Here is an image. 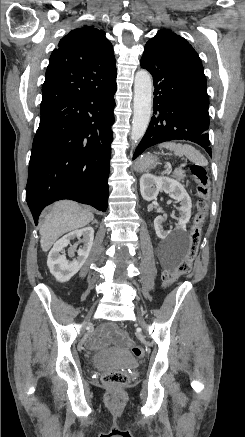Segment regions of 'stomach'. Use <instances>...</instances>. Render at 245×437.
Listing matches in <instances>:
<instances>
[{
	"instance_id": "stomach-1",
	"label": "stomach",
	"mask_w": 245,
	"mask_h": 437,
	"mask_svg": "<svg viewBox=\"0 0 245 437\" xmlns=\"http://www.w3.org/2000/svg\"><path fill=\"white\" fill-rule=\"evenodd\" d=\"M157 160L155 155L147 153L136 162L135 169L139 172L147 171L157 163Z\"/></svg>"
}]
</instances>
